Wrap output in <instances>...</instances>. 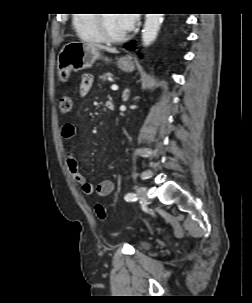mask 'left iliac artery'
I'll list each match as a JSON object with an SVG mask.
<instances>
[{
	"label": "left iliac artery",
	"instance_id": "left-iliac-artery-1",
	"mask_svg": "<svg viewBox=\"0 0 252 303\" xmlns=\"http://www.w3.org/2000/svg\"><path fill=\"white\" fill-rule=\"evenodd\" d=\"M137 199V195L134 193H129L125 196L126 201H136Z\"/></svg>",
	"mask_w": 252,
	"mask_h": 303
}]
</instances>
